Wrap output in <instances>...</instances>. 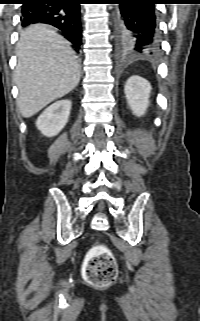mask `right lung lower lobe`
<instances>
[{
	"mask_svg": "<svg viewBox=\"0 0 200 321\" xmlns=\"http://www.w3.org/2000/svg\"><path fill=\"white\" fill-rule=\"evenodd\" d=\"M82 0H24L21 24L45 23L63 32L78 52L81 45L80 4Z\"/></svg>",
	"mask_w": 200,
	"mask_h": 321,
	"instance_id": "obj_1",
	"label": "right lung lower lobe"
}]
</instances>
